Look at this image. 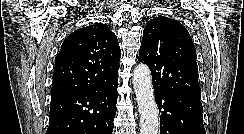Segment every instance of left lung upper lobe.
Listing matches in <instances>:
<instances>
[{
	"label": "left lung upper lobe",
	"mask_w": 244,
	"mask_h": 134,
	"mask_svg": "<svg viewBox=\"0 0 244 134\" xmlns=\"http://www.w3.org/2000/svg\"><path fill=\"white\" fill-rule=\"evenodd\" d=\"M139 61L150 68L154 90L200 97L196 49L178 21L156 17L147 23Z\"/></svg>",
	"instance_id": "5c2ea615"
}]
</instances>
